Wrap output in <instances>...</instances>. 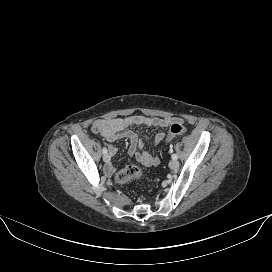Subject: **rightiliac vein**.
Masks as SVG:
<instances>
[{
	"mask_svg": "<svg viewBox=\"0 0 272 272\" xmlns=\"http://www.w3.org/2000/svg\"><path fill=\"white\" fill-rule=\"evenodd\" d=\"M103 160H104V162L108 163L110 161V155L109 154H104Z\"/></svg>",
	"mask_w": 272,
	"mask_h": 272,
	"instance_id": "1",
	"label": "right iliac vein"
}]
</instances>
